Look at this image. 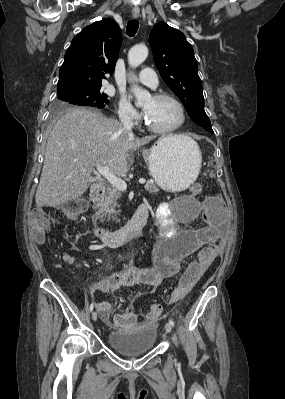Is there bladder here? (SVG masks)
<instances>
[{
    "instance_id": "bladder-1",
    "label": "bladder",
    "mask_w": 285,
    "mask_h": 399,
    "mask_svg": "<svg viewBox=\"0 0 285 399\" xmlns=\"http://www.w3.org/2000/svg\"><path fill=\"white\" fill-rule=\"evenodd\" d=\"M188 196H181L180 201H191ZM156 329L152 326L135 327L127 331L111 332L107 335V343L124 357L141 356L152 350L156 342Z\"/></svg>"
}]
</instances>
